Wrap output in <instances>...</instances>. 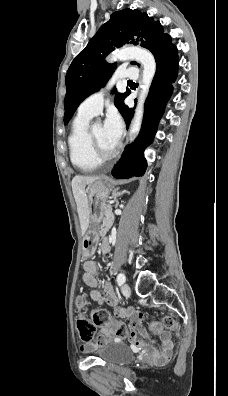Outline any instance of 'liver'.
Instances as JSON below:
<instances>
[{
  "instance_id": "1",
  "label": "liver",
  "mask_w": 228,
  "mask_h": 396,
  "mask_svg": "<svg viewBox=\"0 0 228 396\" xmlns=\"http://www.w3.org/2000/svg\"><path fill=\"white\" fill-rule=\"evenodd\" d=\"M96 180V177L89 176H75L72 179V191L77 204L82 235L86 233L89 225L88 198L85 187L87 184H91Z\"/></svg>"
}]
</instances>
